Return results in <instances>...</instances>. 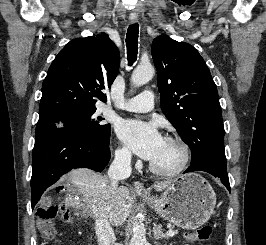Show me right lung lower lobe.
Returning <instances> with one entry per match:
<instances>
[{
    "label": "right lung lower lobe",
    "instance_id": "obj_1",
    "mask_svg": "<svg viewBox=\"0 0 266 245\" xmlns=\"http://www.w3.org/2000/svg\"><path fill=\"white\" fill-rule=\"evenodd\" d=\"M109 142L100 144L63 128L35 138L32 153V210L43 192L72 168L86 167L102 171L110 160Z\"/></svg>",
    "mask_w": 266,
    "mask_h": 245
}]
</instances>
